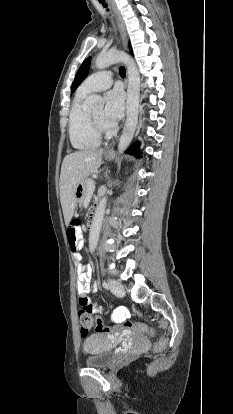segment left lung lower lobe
Masks as SVG:
<instances>
[{"mask_svg":"<svg viewBox=\"0 0 233 414\" xmlns=\"http://www.w3.org/2000/svg\"><path fill=\"white\" fill-rule=\"evenodd\" d=\"M126 153L132 154L138 158L141 157L140 151H139V144L133 145L131 148H129Z\"/></svg>","mask_w":233,"mask_h":414,"instance_id":"0a47b994","label":"left lung lower lobe"}]
</instances>
